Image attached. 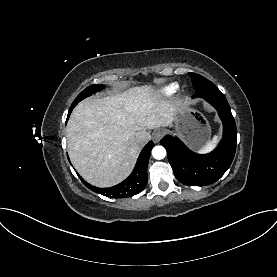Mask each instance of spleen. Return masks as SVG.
<instances>
[{
	"instance_id": "1",
	"label": "spleen",
	"mask_w": 277,
	"mask_h": 277,
	"mask_svg": "<svg viewBox=\"0 0 277 277\" xmlns=\"http://www.w3.org/2000/svg\"><path fill=\"white\" fill-rule=\"evenodd\" d=\"M218 142V136H214L213 139L209 142H207L201 149H200V153H207V152H210L214 147L215 145L217 144Z\"/></svg>"
}]
</instances>
